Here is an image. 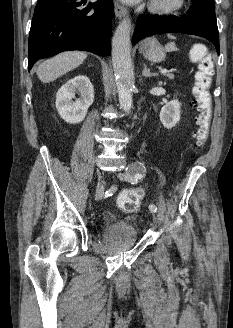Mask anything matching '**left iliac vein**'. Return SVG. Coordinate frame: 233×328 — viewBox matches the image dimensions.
<instances>
[{
    "instance_id": "4c4485c4",
    "label": "left iliac vein",
    "mask_w": 233,
    "mask_h": 328,
    "mask_svg": "<svg viewBox=\"0 0 233 328\" xmlns=\"http://www.w3.org/2000/svg\"><path fill=\"white\" fill-rule=\"evenodd\" d=\"M136 170H137L136 166L132 164L129 166V169L126 172L118 173V178L123 181L131 182L134 178L133 175L136 172ZM153 220L154 221L157 220V216L154 214V212H153Z\"/></svg>"
}]
</instances>
